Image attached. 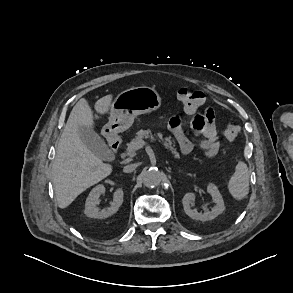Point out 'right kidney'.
<instances>
[{
	"instance_id": "obj_1",
	"label": "right kidney",
	"mask_w": 293,
	"mask_h": 293,
	"mask_svg": "<svg viewBox=\"0 0 293 293\" xmlns=\"http://www.w3.org/2000/svg\"><path fill=\"white\" fill-rule=\"evenodd\" d=\"M105 193V187L104 185H97L92 189V191L89 193V196L85 203V214L86 216L90 218H107L114 213H116L123 203V190L122 189H116L114 192L113 201L111 202L110 206L108 208H104L102 210L97 208V204L99 203V197L101 194Z\"/></svg>"
}]
</instances>
